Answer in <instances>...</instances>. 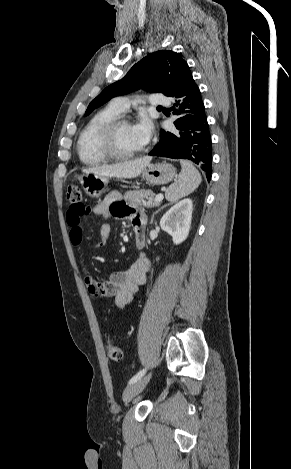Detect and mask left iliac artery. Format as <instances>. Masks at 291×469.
Wrapping results in <instances>:
<instances>
[{
    "label": "left iliac artery",
    "mask_w": 291,
    "mask_h": 469,
    "mask_svg": "<svg viewBox=\"0 0 291 469\" xmlns=\"http://www.w3.org/2000/svg\"><path fill=\"white\" fill-rule=\"evenodd\" d=\"M145 372H146V369L140 370L137 374H135V375L129 380V384H133V383H135L136 381H138L140 378L143 377V375L145 374Z\"/></svg>",
    "instance_id": "44dca946"
}]
</instances>
